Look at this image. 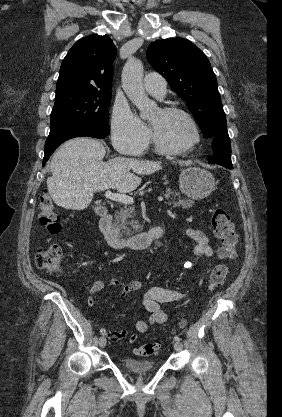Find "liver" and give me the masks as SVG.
<instances>
[{"label": "liver", "mask_w": 282, "mask_h": 417, "mask_svg": "<svg viewBox=\"0 0 282 417\" xmlns=\"http://www.w3.org/2000/svg\"><path fill=\"white\" fill-rule=\"evenodd\" d=\"M106 148L100 140L90 136L71 138L59 146L50 162L52 176L47 188L58 206L72 211L87 209L95 190L114 188L117 192H131L139 186L140 176L162 168L154 160H137L115 156L103 162ZM132 170V172H130Z\"/></svg>", "instance_id": "6515ba94"}]
</instances>
